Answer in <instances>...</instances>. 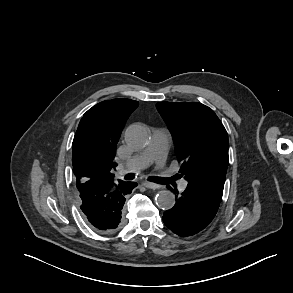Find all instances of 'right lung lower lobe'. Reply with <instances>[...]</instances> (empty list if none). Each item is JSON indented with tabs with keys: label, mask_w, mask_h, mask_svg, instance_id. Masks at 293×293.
<instances>
[{
	"label": "right lung lower lobe",
	"mask_w": 293,
	"mask_h": 293,
	"mask_svg": "<svg viewBox=\"0 0 293 293\" xmlns=\"http://www.w3.org/2000/svg\"><path fill=\"white\" fill-rule=\"evenodd\" d=\"M135 182L113 179L76 181L79 204L87 224L101 232H112L121 226L122 208Z\"/></svg>",
	"instance_id": "right-lung-lower-lobe-1"
}]
</instances>
